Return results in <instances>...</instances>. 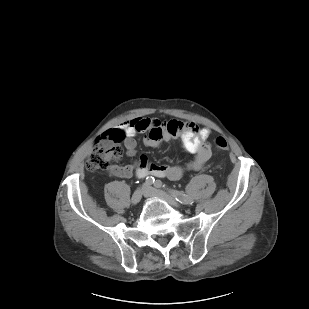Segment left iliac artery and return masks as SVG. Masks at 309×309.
Segmentation results:
<instances>
[{
  "instance_id": "1",
  "label": "left iliac artery",
  "mask_w": 309,
  "mask_h": 309,
  "mask_svg": "<svg viewBox=\"0 0 309 309\" xmlns=\"http://www.w3.org/2000/svg\"><path fill=\"white\" fill-rule=\"evenodd\" d=\"M156 188H162L166 190L169 194H171L177 201L183 204H192L193 200L186 194H183L177 190H174L167 185H165L161 180H156L154 183Z\"/></svg>"
}]
</instances>
